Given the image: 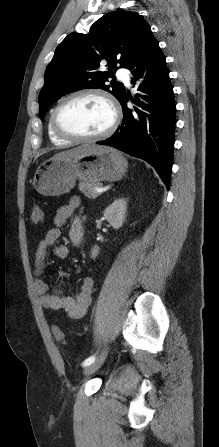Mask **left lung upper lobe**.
<instances>
[{
  "instance_id": "5c2ea615",
  "label": "left lung upper lobe",
  "mask_w": 219,
  "mask_h": 447,
  "mask_svg": "<svg viewBox=\"0 0 219 447\" xmlns=\"http://www.w3.org/2000/svg\"><path fill=\"white\" fill-rule=\"evenodd\" d=\"M152 34L146 21L135 12L117 10L102 16L88 34L71 33L56 48L45 71V84L39 94L40 118L62 96L85 88H100L119 102L125 94L123 84L111 81L117 63L126 67ZM107 62L108 71L100 64Z\"/></svg>"
}]
</instances>
